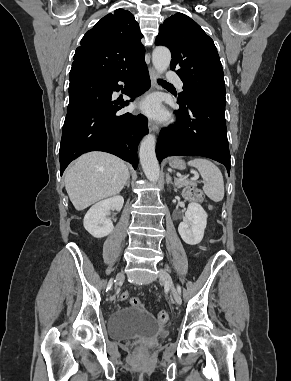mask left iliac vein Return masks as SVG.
I'll use <instances>...</instances> for the list:
<instances>
[{
    "label": "left iliac vein",
    "mask_w": 291,
    "mask_h": 381,
    "mask_svg": "<svg viewBox=\"0 0 291 381\" xmlns=\"http://www.w3.org/2000/svg\"><path fill=\"white\" fill-rule=\"evenodd\" d=\"M159 279L162 282H164V284L170 289L171 294H172L175 302L177 304H181V302H182L181 296H180L179 292L177 291V289L175 288L170 274L166 270L160 269L159 270Z\"/></svg>",
    "instance_id": "obj_1"
}]
</instances>
